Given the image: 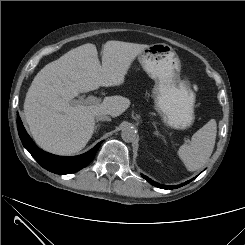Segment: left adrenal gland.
<instances>
[{
	"instance_id": "1",
	"label": "left adrenal gland",
	"mask_w": 245,
	"mask_h": 245,
	"mask_svg": "<svg viewBox=\"0 0 245 245\" xmlns=\"http://www.w3.org/2000/svg\"><path fill=\"white\" fill-rule=\"evenodd\" d=\"M152 125L155 128L154 134L157 135V136H160V137L164 138V136L162 134H160V132L158 131L157 126H156V123L153 122Z\"/></svg>"
}]
</instances>
